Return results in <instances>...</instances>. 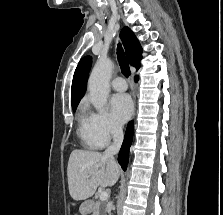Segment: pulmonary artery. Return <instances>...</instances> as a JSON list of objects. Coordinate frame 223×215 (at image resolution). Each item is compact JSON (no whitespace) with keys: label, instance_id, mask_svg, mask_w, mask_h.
I'll return each instance as SVG.
<instances>
[{"label":"pulmonary artery","instance_id":"pulmonary-artery-1","mask_svg":"<svg viewBox=\"0 0 223 215\" xmlns=\"http://www.w3.org/2000/svg\"><path fill=\"white\" fill-rule=\"evenodd\" d=\"M111 86L117 91H124L128 87L126 80L122 77H116L115 79H113L111 82Z\"/></svg>","mask_w":223,"mask_h":215}]
</instances>
